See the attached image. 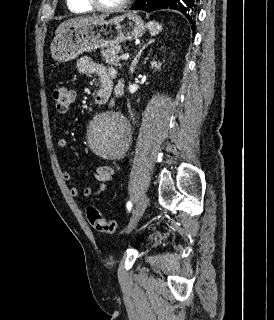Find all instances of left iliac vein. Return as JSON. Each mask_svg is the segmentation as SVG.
Wrapping results in <instances>:
<instances>
[{
	"instance_id": "1",
	"label": "left iliac vein",
	"mask_w": 274,
	"mask_h": 320,
	"mask_svg": "<svg viewBox=\"0 0 274 320\" xmlns=\"http://www.w3.org/2000/svg\"><path fill=\"white\" fill-rule=\"evenodd\" d=\"M148 204V197L146 195H142L139 201L136 204L135 210L133 211L132 217L129 221L127 232L129 233L131 230L135 228L140 218L142 217L146 207Z\"/></svg>"
}]
</instances>
